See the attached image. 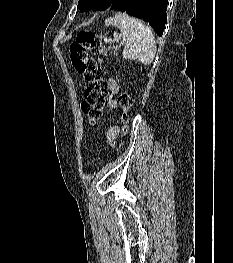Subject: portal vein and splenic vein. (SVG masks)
I'll return each mask as SVG.
<instances>
[{"label": "portal vein and splenic vein", "instance_id": "1", "mask_svg": "<svg viewBox=\"0 0 233 263\" xmlns=\"http://www.w3.org/2000/svg\"><path fill=\"white\" fill-rule=\"evenodd\" d=\"M114 38H115L116 41H118V42L120 41V39L118 38L117 34H114Z\"/></svg>", "mask_w": 233, "mask_h": 263}]
</instances>
